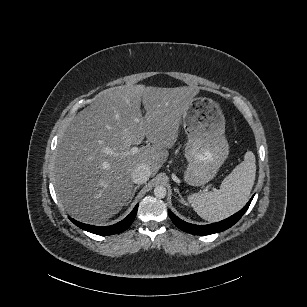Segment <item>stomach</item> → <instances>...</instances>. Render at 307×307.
Returning a JSON list of instances; mask_svg holds the SVG:
<instances>
[{
    "label": "stomach",
    "instance_id": "stomach-1",
    "mask_svg": "<svg viewBox=\"0 0 307 307\" xmlns=\"http://www.w3.org/2000/svg\"><path fill=\"white\" fill-rule=\"evenodd\" d=\"M182 124L188 136L185 152L190 162L184 176L191 185H203L212 179L228 155L224 116L214 100L194 97L182 115Z\"/></svg>",
    "mask_w": 307,
    "mask_h": 307
}]
</instances>
